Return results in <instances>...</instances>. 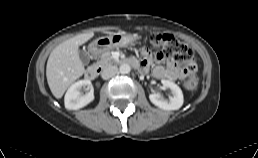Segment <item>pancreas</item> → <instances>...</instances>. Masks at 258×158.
Masks as SVG:
<instances>
[{"mask_svg": "<svg viewBox=\"0 0 258 158\" xmlns=\"http://www.w3.org/2000/svg\"><path fill=\"white\" fill-rule=\"evenodd\" d=\"M117 61L113 59L111 52L110 51H106L104 52L101 57L97 60L96 65H98L101 68H105L107 66H110L114 63H116Z\"/></svg>", "mask_w": 258, "mask_h": 158, "instance_id": "cf45deb5", "label": "pancreas"}]
</instances>
